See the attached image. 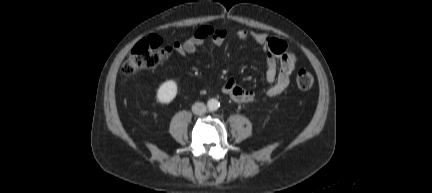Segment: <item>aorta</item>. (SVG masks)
<instances>
[{
	"mask_svg": "<svg viewBox=\"0 0 432 193\" xmlns=\"http://www.w3.org/2000/svg\"><path fill=\"white\" fill-rule=\"evenodd\" d=\"M207 107L210 111H216L220 107V102L217 99H210L207 102Z\"/></svg>",
	"mask_w": 432,
	"mask_h": 193,
	"instance_id": "obj_1",
	"label": "aorta"
}]
</instances>
